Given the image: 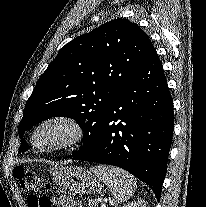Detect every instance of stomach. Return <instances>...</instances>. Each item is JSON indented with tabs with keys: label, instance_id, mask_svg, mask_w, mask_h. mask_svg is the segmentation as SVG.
<instances>
[{
	"label": "stomach",
	"instance_id": "obj_1",
	"mask_svg": "<svg viewBox=\"0 0 206 207\" xmlns=\"http://www.w3.org/2000/svg\"><path fill=\"white\" fill-rule=\"evenodd\" d=\"M54 182L61 188L78 194L99 195L102 184L89 170L80 166H55L49 169Z\"/></svg>",
	"mask_w": 206,
	"mask_h": 207
}]
</instances>
